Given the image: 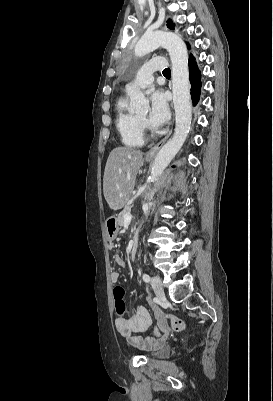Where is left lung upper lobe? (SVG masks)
<instances>
[{
  "label": "left lung upper lobe",
  "instance_id": "obj_1",
  "mask_svg": "<svg viewBox=\"0 0 273 401\" xmlns=\"http://www.w3.org/2000/svg\"><path fill=\"white\" fill-rule=\"evenodd\" d=\"M167 27L170 29H173L174 24L171 21H169V23L167 24Z\"/></svg>",
  "mask_w": 273,
  "mask_h": 401
}]
</instances>
